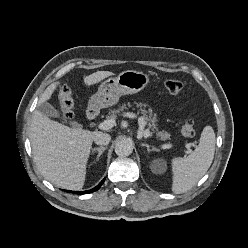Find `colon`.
<instances>
[{
	"instance_id": "colon-1",
	"label": "colon",
	"mask_w": 248,
	"mask_h": 248,
	"mask_svg": "<svg viewBox=\"0 0 248 248\" xmlns=\"http://www.w3.org/2000/svg\"><path fill=\"white\" fill-rule=\"evenodd\" d=\"M165 89L170 94H178L183 89V84L178 80H167L165 82ZM60 114L64 121H68L73 117V98L71 90L68 86H63L59 91ZM181 133L185 138H192L195 136V127L193 120H187L181 129Z\"/></svg>"
}]
</instances>
